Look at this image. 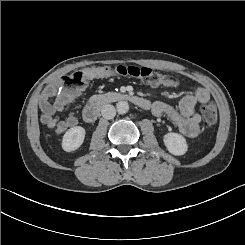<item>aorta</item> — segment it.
<instances>
[{
  "label": "aorta",
  "mask_w": 245,
  "mask_h": 245,
  "mask_svg": "<svg viewBox=\"0 0 245 245\" xmlns=\"http://www.w3.org/2000/svg\"><path fill=\"white\" fill-rule=\"evenodd\" d=\"M116 109L119 114H125L129 111V104L126 101H119L116 104Z\"/></svg>",
  "instance_id": "aorta-1"
}]
</instances>
